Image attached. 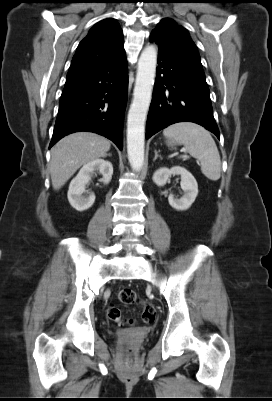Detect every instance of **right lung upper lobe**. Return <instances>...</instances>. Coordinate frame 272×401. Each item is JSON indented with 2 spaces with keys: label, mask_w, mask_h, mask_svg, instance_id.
Masks as SVG:
<instances>
[{
  "label": "right lung upper lobe",
  "mask_w": 272,
  "mask_h": 401,
  "mask_svg": "<svg viewBox=\"0 0 272 401\" xmlns=\"http://www.w3.org/2000/svg\"><path fill=\"white\" fill-rule=\"evenodd\" d=\"M122 51L123 33L120 25L115 19H104L78 45L66 79L94 70Z\"/></svg>",
  "instance_id": "right-lung-upper-lobe-1"
}]
</instances>
